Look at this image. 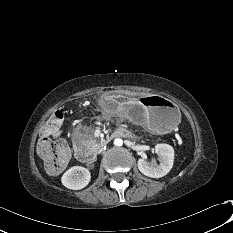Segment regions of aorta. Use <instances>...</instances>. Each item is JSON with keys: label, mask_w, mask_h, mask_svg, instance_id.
Instances as JSON below:
<instances>
[{"label": "aorta", "mask_w": 233, "mask_h": 233, "mask_svg": "<svg viewBox=\"0 0 233 233\" xmlns=\"http://www.w3.org/2000/svg\"><path fill=\"white\" fill-rule=\"evenodd\" d=\"M114 145L115 146H122L123 145V140L121 138H116L114 140Z\"/></svg>", "instance_id": "obj_1"}]
</instances>
